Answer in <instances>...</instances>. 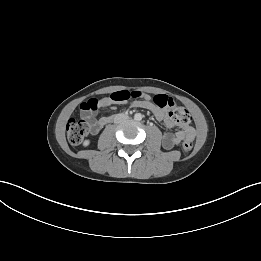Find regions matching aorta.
<instances>
[{
    "label": "aorta",
    "mask_w": 261,
    "mask_h": 261,
    "mask_svg": "<svg viewBox=\"0 0 261 261\" xmlns=\"http://www.w3.org/2000/svg\"><path fill=\"white\" fill-rule=\"evenodd\" d=\"M134 119H135L136 121H140V120L142 119V115H141L140 113H136V114L134 115Z\"/></svg>",
    "instance_id": "obj_1"
}]
</instances>
